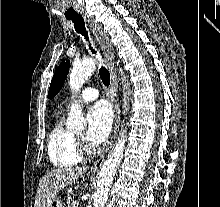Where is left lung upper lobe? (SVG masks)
Returning <instances> with one entry per match:
<instances>
[{
    "label": "left lung upper lobe",
    "instance_id": "obj_1",
    "mask_svg": "<svg viewBox=\"0 0 220 207\" xmlns=\"http://www.w3.org/2000/svg\"><path fill=\"white\" fill-rule=\"evenodd\" d=\"M69 67H70L69 61L63 60L60 63V65L58 66V68L56 69V71L53 75V79L50 84V88H49L48 97L50 99H52L61 89V87L67 77Z\"/></svg>",
    "mask_w": 220,
    "mask_h": 207
}]
</instances>
